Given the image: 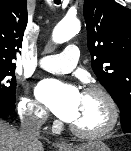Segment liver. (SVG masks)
I'll use <instances>...</instances> for the list:
<instances>
[{
	"label": "liver",
	"mask_w": 131,
	"mask_h": 151,
	"mask_svg": "<svg viewBox=\"0 0 131 151\" xmlns=\"http://www.w3.org/2000/svg\"><path fill=\"white\" fill-rule=\"evenodd\" d=\"M0 151H44L40 141H32L0 120Z\"/></svg>",
	"instance_id": "6515ba94"
}]
</instances>
